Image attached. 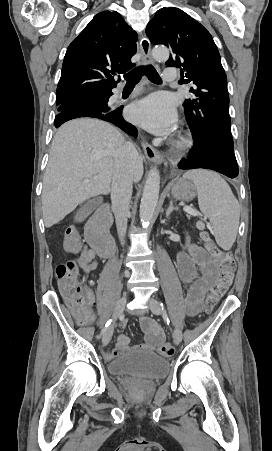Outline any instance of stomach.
I'll return each instance as SVG.
<instances>
[{"label":"stomach","instance_id":"obj_1","mask_svg":"<svg viewBox=\"0 0 272 451\" xmlns=\"http://www.w3.org/2000/svg\"><path fill=\"white\" fill-rule=\"evenodd\" d=\"M171 194L173 198H177V200L191 202L197 194L196 186L193 182H188V180H177L172 188Z\"/></svg>","mask_w":272,"mask_h":451}]
</instances>
